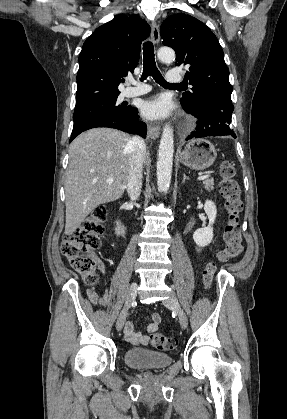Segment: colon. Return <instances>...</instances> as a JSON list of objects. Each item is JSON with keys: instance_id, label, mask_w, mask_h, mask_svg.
<instances>
[{"instance_id": "colon-1", "label": "colon", "mask_w": 287, "mask_h": 419, "mask_svg": "<svg viewBox=\"0 0 287 419\" xmlns=\"http://www.w3.org/2000/svg\"><path fill=\"white\" fill-rule=\"evenodd\" d=\"M235 169L231 162L225 161L220 166L221 181L219 192L225 200L228 218L224 227V249L218 255V262L224 263L238 258L243 252L240 231V214L243 209L241 190L234 179ZM107 211L104 206L94 208L81 225L73 233L64 237L61 250L71 266L81 273L87 284L97 281L98 259L95 255L100 246V237L104 232ZM216 264H209L204 272V282L209 288ZM176 339L155 333L151 336V344L158 350H171L176 346Z\"/></svg>"}]
</instances>
